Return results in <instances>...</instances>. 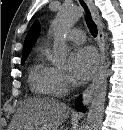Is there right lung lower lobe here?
<instances>
[{
    "instance_id": "98d812e1",
    "label": "right lung lower lobe",
    "mask_w": 123,
    "mask_h": 130,
    "mask_svg": "<svg viewBox=\"0 0 123 130\" xmlns=\"http://www.w3.org/2000/svg\"><path fill=\"white\" fill-rule=\"evenodd\" d=\"M80 101H81V97L78 98V100L75 104L77 110H82ZM83 110L85 111V108Z\"/></svg>"
}]
</instances>
